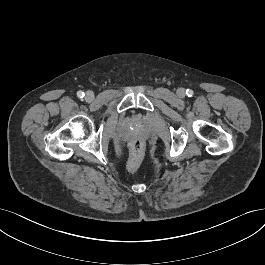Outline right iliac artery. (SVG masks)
Returning a JSON list of instances; mask_svg holds the SVG:
<instances>
[{"mask_svg":"<svg viewBox=\"0 0 265 265\" xmlns=\"http://www.w3.org/2000/svg\"><path fill=\"white\" fill-rule=\"evenodd\" d=\"M84 92H82V91H78L77 92V96L79 97V98H83L84 97Z\"/></svg>","mask_w":265,"mask_h":265,"instance_id":"right-iliac-artery-1","label":"right iliac artery"}]
</instances>
